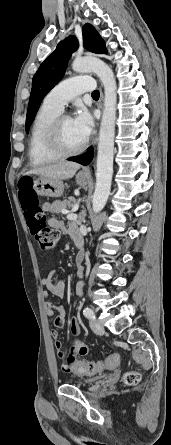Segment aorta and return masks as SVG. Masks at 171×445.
<instances>
[{
	"label": "aorta",
	"instance_id": "1",
	"mask_svg": "<svg viewBox=\"0 0 171 445\" xmlns=\"http://www.w3.org/2000/svg\"><path fill=\"white\" fill-rule=\"evenodd\" d=\"M72 68L78 73L93 72L101 80L105 97L104 108L99 130L96 186L92 205L94 213L100 212L108 200L112 175L114 137L117 104V86L112 69L102 60L94 57L75 59Z\"/></svg>",
	"mask_w": 171,
	"mask_h": 445
}]
</instances>
